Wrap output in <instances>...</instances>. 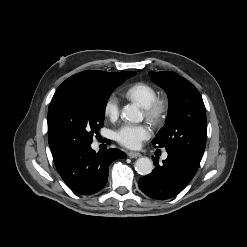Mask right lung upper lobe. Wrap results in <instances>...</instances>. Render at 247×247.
Masks as SVG:
<instances>
[{
	"label": "right lung upper lobe",
	"mask_w": 247,
	"mask_h": 247,
	"mask_svg": "<svg viewBox=\"0 0 247 247\" xmlns=\"http://www.w3.org/2000/svg\"><path fill=\"white\" fill-rule=\"evenodd\" d=\"M126 72L121 73H109V72H103V71H92V70H86L83 72H80L78 74H75L71 77H69L67 80H65V83L69 82H75V83H89L93 85H105L109 83H113L120 79ZM50 149L53 155V159H56L63 153L64 151H61L54 147L52 144H50Z\"/></svg>",
	"instance_id": "right-lung-upper-lobe-1"
}]
</instances>
